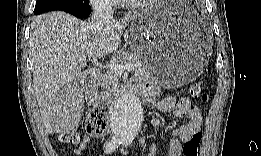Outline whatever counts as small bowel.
<instances>
[{"label": "small bowel", "instance_id": "1", "mask_svg": "<svg viewBox=\"0 0 261 156\" xmlns=\"http://www.w3.org/2000/svg\"><path fill=\"white\" fill-rule=\"evenodd\" d=\"M131 85L135 90L144 96H147L150 102L161 112H173L177 118H188L186 123L177 126L173 131V137L168 145L169 156H180L182 153V143L188 141L193 134L200 132L202 125V115L199 108L194 105L190 98L181 97L176 99L174 97L159 98L156 87L144 80L134 78ZM161 122L159 119H153V127L159 129ZM90 142V136L84 135L79 145L75 148L74 154L77 156L83 155ZM145 140H138V148L145 147ZM149 156L156 155V145L153 143L149 147Z\"/></svg>", "mask_w": 261, "mask_h": 156}]
</instances>
